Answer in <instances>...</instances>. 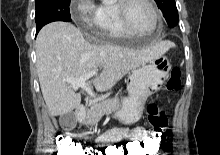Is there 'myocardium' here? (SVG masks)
<instances>
[{"label": "myocardium", "mask_w": 220, "mask_h": 155, "mask_svg": "<svg viewBox=\"0 0 220 155\" xmlns=\"http://www.w3.org/2000/svg\"><path fill=\"white\" fill-rule=\"evenodd\" d=\"M135 1H138V0H118L117 9H118V13H119V16H120V19H121V22L124 28L131 35L145 36V35H150V34L157 32L161 28L162 21H161L159 11L153 0H141L150 7V10L153 14V17H154L153 29L147 32H142L133 27V25L131 24L130 18H129V8H130V5Z\"/></svg>", "instance_id": "f54148a6"}]
</instances>
